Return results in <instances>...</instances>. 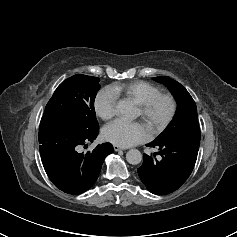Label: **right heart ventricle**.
Masks as SVG:
<instances>
[{"mask_svg":"<svg viewBox=\"0 0 237 237\" xmlns=\"http://www.w3.org/2000/svg\"><path fill=\"white\" fill-rule=\"evenodd\" d=\"M109 89L117 97L132 100L136 104L142 103L160 93V89L157 86L143 80L116 83L110 86Z\"/></svg>","mask_w":237,"mask_h":237,"instance_id":"obj_1","label":"right heart ventricle"}]
</instances>
